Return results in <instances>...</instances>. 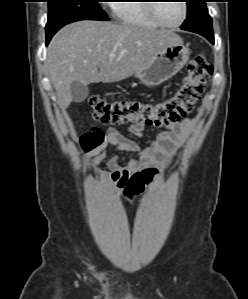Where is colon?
<instances>
[{
    "mask_svg": "<svg viewBox=\"0 0 248 299\" xmlns=\"http://www.w3.org/2000/svg\"><path fill=\"white\" fill-rule=\"evenodd\" d=\"M213 66L204 54H198L188 64L181 84L170 95L155 101H109L98 95L88 99L93 117L103 124L142 122L161 126L178 122L188 115L213 76ZM157 170L145 168L134 172L122 186L128 198L141 193L153 181Z\"/></svg>",
    "mask_w": 248,
    "mask_h": 299,
    "instance_id": "obj_1",
    "label": "colon"
}]
</instances>
